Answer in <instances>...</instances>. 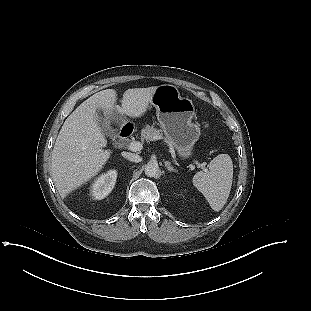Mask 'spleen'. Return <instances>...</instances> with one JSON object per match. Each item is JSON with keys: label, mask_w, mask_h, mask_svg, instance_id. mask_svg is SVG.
<instances>
[{"label": "spleen", "mask_w": 311, "mask_h": 311, "mask_svg": "<svg viewBox=\"0 0 311 311\" xmlns=\"http://www.w3.org/2000/svg\"><path fill=\"white\" fill-rule=\"evenodd\" d=\"M233 179V164L228 154L216 156L205 171L197 172L193 185L205 196L214 211L221 210L229 197Z\"/></svg>", "instance_id": "spleen-1"}]
</instances>
